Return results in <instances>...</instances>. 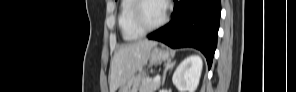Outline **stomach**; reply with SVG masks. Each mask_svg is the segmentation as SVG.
Instances as JSON below:
<instances>
[{
    "mask_svg": "<svg viewBox=\"0 0 296 92\" xmlns=\"http://www.w3.org/2000/svg\"><path fill=\"white\" fill-rule=\"evenodd\" d=\"M169 58L170 53L168 50L155 46L150 52L149 63L150 65H156L168 61ZM144 78L145 72L140 70L139 73L134 74L121 86L119 92H138Z\"/></svg>",
    "mask_w": 296,
    "mask_h": 92,
    "instance_id": "1",
    "label": "stomach"
}]
</instances>
